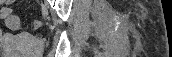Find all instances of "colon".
I'll return each instance as SVG.
<instances>
[{
	"label": "colon",
	"instance_id": "1",
	"mask_svg": "<svg viewBox=\"0 0 172 57\" xmlns=\"http://www.w3.org/2000/svg\"><path fill=\"white\" fill-rule=\"evenodd\" d=\"M0 17L5 21L7 27L10 29H18L21 27L20 19L13 14L12 10L7 7H3L0 9ZM43 26V22L41 20H35L31 23V27L33 29H39Z\"/></svg>",
	"mask_w": 172,
	"mask_h": 57
}]
</instances>
